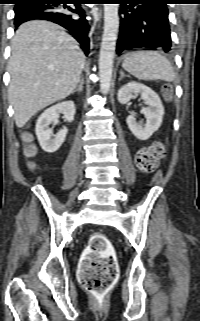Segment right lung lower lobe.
<instances>
[{"mask_svg":"<svg viewBox=\"0 0 200 321\" xmlns=\"http://www.w3.org/2000/svg\"><path fill=\"white\" fill-rule=\"evenodd\" d=\"M83 0H22L16 3L14 8V25L17 28L20 24L30 20H48L66 28L69 33L81 44L85 54L89 50L88 23L83 16V9L80 7ZM67 3L75 5V9L67 6ZM67 9L80 15L79 19L64 11Z\"/></svg>","mask_w":200,"mask_h":321,"instance_id":"1","label":"right lung lower lobe"}]
</instances>
